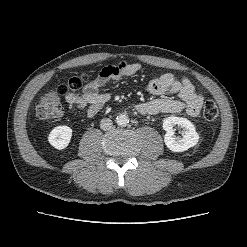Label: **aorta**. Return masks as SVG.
I'll use <instances>...</instances> for the list:
<instances>
[{
  "instance_id": "1",
  "label": "aorta",
  "mask_w": 247,
  "mask_h": 247,
  "mask_svg": "<svg viewBox=\"0 0 247 247\" xmlns=\"http://www.w3.org/2000/svg\"><path fill=\"white\" fill-rule=\"evenodd\" d=\"M116 123L117 125L124 127L129 123V118L125 114H120L116 117Z\"/></svg>"
}]
</instances>
